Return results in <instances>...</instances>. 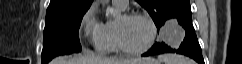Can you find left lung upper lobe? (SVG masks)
<instances>
[{
    "instance_id": "obj_1",
    "label": "left lung upper lobe",
    "mask_w": 242,
    "mask_h": 64,
    "mask_svg": "<svg viewBox=\"0 0 242 64\" xmlns=\"http://www.w3.org/2000/svg\"><path fill=\"white\" fill-rule=\"evenodd\" d=\"M152 17L159 30L169 19L190 11V0H136Z\"/></svg>"
}]
</instances>
